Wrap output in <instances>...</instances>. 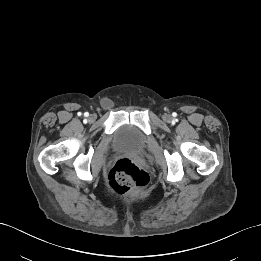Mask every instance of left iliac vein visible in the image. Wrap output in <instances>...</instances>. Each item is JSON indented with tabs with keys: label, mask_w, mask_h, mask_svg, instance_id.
<instances>
[{
	"label": "left iliac vein",
	"mask_w": 261,
	"mask_h": 261,
	"mask_svg": "<svg viewBox=\"0 0 261 261\" xmlns=\"http://www.w3.org/2000/svg\"><path fill=\"white\" fill-rule=\"evenodd\" d=\"M164 120H165L166 122H170V121H171V115L166 114V115L164 116Z\"/></svg>",
	"instance_id": "1"
}]
</instances>
